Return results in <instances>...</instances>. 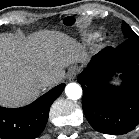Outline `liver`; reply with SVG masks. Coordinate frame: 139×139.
<instances>
[{
    "label": "liver",
    "mask_w": 139,
    "mask_h": 139,
    "mask_svg": "<svg viewBox=\"0 0 139 139\" xmlns=\"http://www.w3.org/2000/svg\"><path fill=\"white\" fill-rule=\"evenodd\" d=\"M83 46L61 32L40 31L27 39L0 36V105L18 107L41 93L43 75L61 82L65 68L86 59Z\"/></svg>",
    "instance_id": "obj_1"
}]
</instances>
